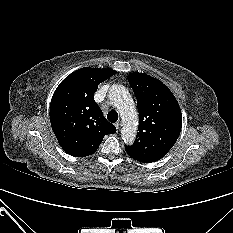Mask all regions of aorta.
Segmentation results:
<instances>
[{
    "mask_svg": "<svg viewBox=\"0 0 233 233\" xmlns=\"http://www.w3.org/2000/svg\"><path fill=\"white\" fill-rule=\"evenodd\" d=\"M109 98L117 107L123 122L121 136L125 143L132 144L137 133L138 114L128 90L115 84L109 90Z\"/></svg>",
    "mask_w": 233,
    "mask_h": 233,
    "instance_id": "762f6f07",
    "label": "aorta"
}]
</instances>
